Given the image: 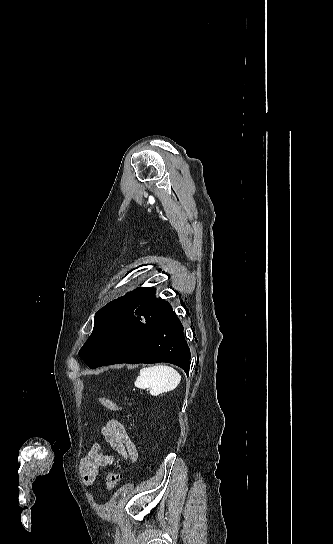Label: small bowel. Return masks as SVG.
I'll return each mask as SVG.
<instances>
[{"label":"small bowel","instance_id":"c3829d8e","mask_svg":"<svg viewBox=\"0 0 333 544\" xmlns=\"http://www.w3.org/2000/svg\"><path fill=\"white\" fill-rule=\"evenodd\" d=\"M101 435L109 446L123 456L135 460L136 449L127 431L117 419H109L101 428ZM113 457L105 454L99 444H94L80 463V475L83 483L90 486L94 483L101 468L111 465Z\"/></svg>","mask_w":333,"mask_h":544}]
</instances>
